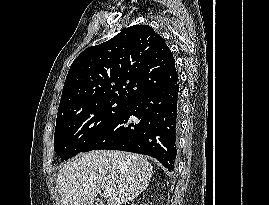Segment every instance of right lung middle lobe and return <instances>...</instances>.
I'll use <instances>...</instances> for the list:
<instances>
[{
	"label": "right lung middle lobe",
	"mask_w": 269,
	"mask_h": 205,
	"mask_svg": "<svg viewBox=\"0 0 269 205\" xmlns=\"http://www.w3.org/2000/svg\"><path fill=\"white\" fill-rule=\"evenodd\" d=\"M128 103L104 101L56 120L54 150L61 161L68 160L92 142L111 122L120 116Z\"/></svg>",
	"instance_id": "right-lung-middle-lobe-1"
}]
</instances>
